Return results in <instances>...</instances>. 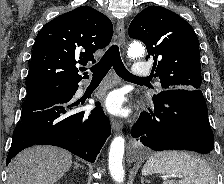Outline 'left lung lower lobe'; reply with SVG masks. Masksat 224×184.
I'll return each mask as SVG.
<instances>
[{
  "instance_id": "left-lung-lower-lobe-1",
  "label": "left lung lower lobe",
  "mask_w": 224,
  "mask_h": 184,
  "mask_svg": "<svg viewBox=\"0 0 224 184\" xmlns=\"http://www.w3.org/2000/svg\"><path fill=\"white\" fill-rule=\"evenodd\" d=\"M154 111L142 112L132 137L156 151L190 150L207 154L214 136L207 105L200 89L162 90L153 97Z\"/></svg>"
}]
</instances>
